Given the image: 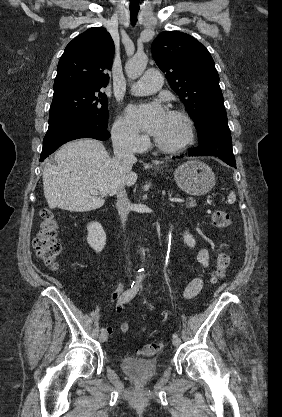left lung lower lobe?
<instances>
[{
	"label": "left lung lower lobe",
	"instance_id": "1",
	"mask_svg": "<svg viewBox=\"0 0 282 417\" xmlns=\"http://www.w3.org/2000/svg\"><path fill=\"white\" fill-rule=\"evenodd\" d=\"M197 129L200 145L190 150L192 156H216L236 167L226 111L206 115Z\"/></svg>",
	"mask_w": 282,
	"mask_h": 417
}]
</instances>
